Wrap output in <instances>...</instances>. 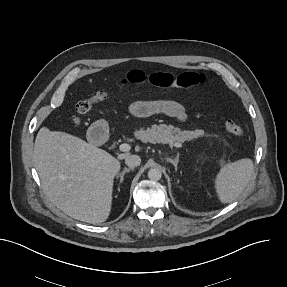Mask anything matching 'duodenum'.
Returning a JSON list of instances; mask_svg holds the SVG:
<instances>
[{
	"mask_svg": "<svg viewBox=\"0 0 287 287\" xmlns=\"http://www.w3.org/2000/svg\"><path fill=\"white\" fill-rule=\"evenodd\" d=\"M90 138L94 142L107 141L108 139V130L104 125H97L93 128Z\"/></svg>",
	"mask_w": 287,
	"mask_h": 287,
	"instance_id": "duodenum-1",
	"label": "duodenum"
}]
</instances>
